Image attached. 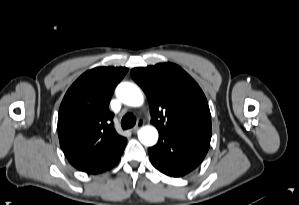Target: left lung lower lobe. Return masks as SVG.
Segmentation results:
<instances>
[{
	"label": "left lung lower lobe",
	"mask_w": 299,
	"mask_h": 205,
	"mask_svg": "<svg viewBox=\"0 0 299 205\" xmlns=\"http://www.w3.org/2000/svg\"><path fill=\"white\" fill-rule=\"evenodd\" d=\"M210 140L183 136L160 135L158 143L148 149L152 165L171 177H181L194 170L204 159Z\"/></svg>",
	"instance_id": "0a47b994"
}]
</instances>
